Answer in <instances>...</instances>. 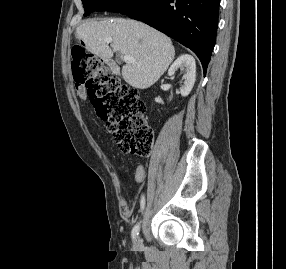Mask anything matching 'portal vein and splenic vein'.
Segmentation results:
<instances>
[{"instance_id":"1","label":"portal vein and splenic vein","mask_w":286,"mask_h":269,"mask_svg":"<svg viewBox=\"0 0 286 269\" xmlns=\"http://www.w3.org/2000/svg\"><path fill=\"white\" fill-rule=\"evenodd\" d=\"M106 43H111L112 42V38H108L105 40ZM123 60L125 63H132L135 61L134 57L130 56V55H125L123 57Z\"/></svg>"}]
</instances>
